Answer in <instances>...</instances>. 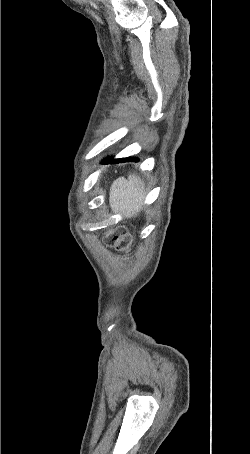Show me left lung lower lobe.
Returning <instances> with one entry per match:
<instances>
[{"label":"left lung lower lobe","instance_id":"0a47b994","mask_svg":"<svg viewBox=\"0 0 250 454\" xmlns=\"http://www.w3.org/2000/svg\"><path fill=\"white\" fill-rule=\"evenodd\" d=\"M137 158H121V159H107L104 163H118V162H127V161H137Z\"/></svg>","mask_w":250,"mask_h":454}]
</instances>
